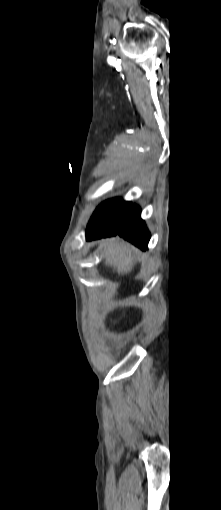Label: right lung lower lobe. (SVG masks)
<instances>
[{"mask_svg":"<svg viewBox=\"0 0 221 510\" xmlns=\"http://www.w3.org/2000/svg\"><path fill=\"white\" fill-rule=\"evenodd\" d=\"M119 235L142 250L147 248L150 233L140 218L138 206L128 203L126 212L119 219L101 215L95 211L86 231L87 240Z\"/></svg>","mask_w":221,"mask_h":510,"instance_id":"98d812e1","label":"right lung lower lobe"}]
</instances>
